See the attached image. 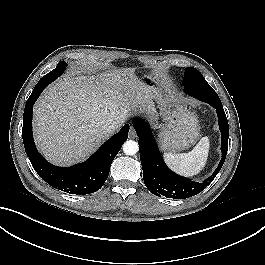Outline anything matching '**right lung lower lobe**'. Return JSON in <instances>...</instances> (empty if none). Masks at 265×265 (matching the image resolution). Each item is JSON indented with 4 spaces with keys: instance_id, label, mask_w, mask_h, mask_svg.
<instances>
[{
    "instance_id": "right-lung-lower-lobe-1",
    "label": "right lung lower lobe",
    "mask_w": 265,
    "mask_h": 265,
    "mask_svg": "<svg viewBox=\"0 0 265 265\" xmlns=\"http://www.w3.org/2000/svg\"><path fill=\"white\" fill-rule=\"evenodd\" d=\"M50 82L40 79L27 100L22 137L26 154L37 174L50 186L70 194H88L99 190L110 171V166L128 138L129 124L107 140L87 161L72 167H57L38 153L32 134L33 105Z\"/></svg>"
}]
</instances>
